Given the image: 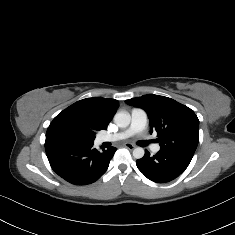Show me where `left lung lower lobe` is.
<instances>
[{"label":"left lung lower lobe","mask_w":235,"mask_h":235,"mask_svg":"<svg viewBox=\"0 0 235 235\" xmlns=\"http://www.w3.org/2000/svg\"><path fill=\"white\" fill-rule=\"evenodd\" d=\"M190 157L160 149L151 156L145 150L143 158L136 161L138 169L154 182H169L185 171L191 162Z\"/></svg>","instance_id":"left-lung-lower-lobe-1"}]
</instances>
